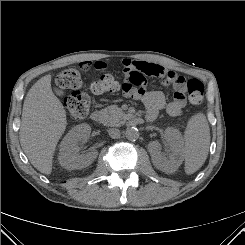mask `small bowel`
<instances>
[{"label": "small bowel", "mask_w": 245, "mask_h": 245, "mask_svg": "<svg viewBox=\"0 0 245 245\" xmlns=\"http://www.w3.org/2000/svg\"><path fill=\"white\" fill-rule=\"evenodd\" d=\"M121 63L125 73V80L120 86L122 95L141 101L146 108L147 117L154 119L161 110H166L173 117L183 114L187 105L185 95L187 82L182 76H178L172 71H167L163 66L152 62L124 58ZM109 64L110 62L107 60L98 59L96 61H82L80 65L83 69H105ZM134 73H139L144 77L141 85L132 83L131 76ZM145 76L163 78L164 84L172 86L174 90L173 99L167 102L163 92L147 90Z\"/></svg>", "instance_id": "c3829d8e"}]
</instances>
